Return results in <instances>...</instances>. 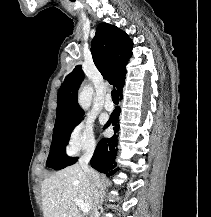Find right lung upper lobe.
<instances>
[{
  "mask_svg": "<svg viewBox=\"0 0 211 217\" xmlns=\"http://www.w3.org/2000/svg\"><path fill=\"white\" fill-rule=\"evenodd\" d=\"M133 42L116 26L101 23L91 43L93 61L103 77L118 91L124 86L125 66L131 57ZM84 79L81 65L68 74L58 92L55 127L81 118L84 111L77 102V92Z\"/></svg>",
  "mask_w": 211,
  "mask_h": 217,
  "instance_id": "1",
  "label": "right lung upper lobe"
}]
</instances>
